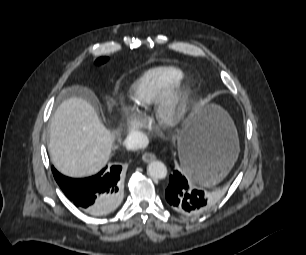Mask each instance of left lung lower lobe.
I'll use <instances>...</instances> for the list:
<instances>
[{"mask_svg": "<svg viewBox=\"0 0 306 255\" xmlns=\"http://www.w3.org/2000/svg\"><path fill=\"white\" fill-rule=\"evenodd\" d=\"M213 159L199 149L188 146L182 160V173L175 170L169 178L166 189V201L174 211L185 215H198L207 210L214 198L199 189H192L187 179L192 175L207 176L212 174Z\"/></svg>", "mask_w": 306, "mask_h": 255, "instance_id": "1", "label": "left lung lower lobe"}]
</instances>
